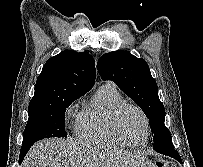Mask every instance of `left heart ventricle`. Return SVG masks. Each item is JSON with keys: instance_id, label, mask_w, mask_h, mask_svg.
I'll return each mask as SVG.
<instances>
[{"instance_id": "1", "label": "left heart ventricle", "mask_w": 203, "mask_h": 167, "mask_svg": "<svg viewBox=\"0 0 203 167\" xmlns=\"http://www.w3.org/2000/svg\"><path fill=\"white\" fill-rule=\"evenodd\" d=\"M119 129L123 136L132 143H139L145 135L142 116L135 109H127L119 119Z\"/></svg>"}]
</instances>
